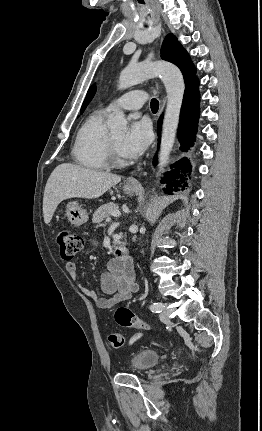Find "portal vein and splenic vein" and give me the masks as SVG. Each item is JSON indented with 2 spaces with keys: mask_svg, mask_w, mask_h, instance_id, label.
Listing matches in <instances>:
<instances>
[{
  "mask_svg": "<svg viewBox=\"0 0 262 431\" xmlns=\"http://www.w3.org/2000/svg\"><path fill=\"white\" fill-rule=\"evenodd\" d=\"M111 215H112L113 217H119V216H120V212H119V211H113V212L111 213Z\"/></svg>",
  "mask_w": 262,
  "mask_h": 431,
  "instance_id": "portal-vein-and-splenic-vein-1",
  "label": "portal vein and splenic vein"
}]
</instances>
